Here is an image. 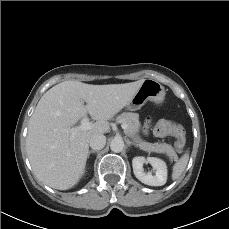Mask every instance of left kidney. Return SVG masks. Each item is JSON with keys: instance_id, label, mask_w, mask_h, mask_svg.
<instances>
[{"instance_id": "1", "label": "left kidney", "mask_w": 229, "mask_h": 229, "mask_svg": "<svg viewBox=\"0 0 229 229\" xmlns=\"http://www.w3.org/2000/svg\"><path fill=\"white\" fill-rule=\"evenodd\" d=\"M150 163L155 170V175L145 173L143 169L144 163ZM133 172L136 178L144 184L150 186H162L167 181V165L166 163L155 157L137 156L132 160Z\"/></svg>"}]
</instances>
